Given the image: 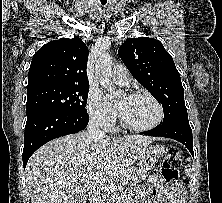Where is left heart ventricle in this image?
Segmentation results:
<instances>
[{
    "label": "left heart ventricle",
    "instance_id": "obj_1",
    "mask_svg": "<svg viewBox=\"0 0 222 203\" xmlns=\"http://www.w3.org/2000/svg\"><path fill=\"white\" fill-rule=\"evenodd\" d=\"M117 105L124 118L136 126L153 123L158 117V109L147 97H128L120 95Z\"/></svg>",
    "mask_w": 222,
    "mask_h": 203
}]
</instances>
